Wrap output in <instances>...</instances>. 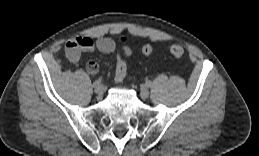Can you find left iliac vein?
Returning <instances> with one entry per match:
<instances>
[{"label": "left iliac vein", "instance_id": "obj_1", "mask_svg": "<svg viewBox=\"0 0 259 156\" xmlns=\"http://www.w3.org/2000/svg\"><path fill=\"white\" fill-rule=\"evenodd\" d=\"M140 96L142 99H147L148 96H149V91L146 87H142L141 90H140Z\"/></svg>", "mask_w": 259, "mask_h": 156}]
</instances>
